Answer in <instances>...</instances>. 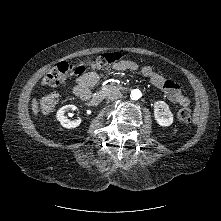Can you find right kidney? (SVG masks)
<instances>
[{
  "instance_id": "1",
  "label": "right kidney",
  "mask_w": 221,
  "mask_h": 221,
  "mask_svg": "<svg viewBox=\"0 0 221 221\" xmlns=\"http://www.w3.org/2000/svg\"><path fill=\"white\" fill-rule=\"evenodd\" d=\"M76 109H77V107L74 105H66V106L61 107L57 111L56 118L64 128H68V129L76 128L80 125V123H81L80 118L77 120H70V119H68L67 116H65V113L68 110H76Z\"/></svg>"
}]
</instances>
